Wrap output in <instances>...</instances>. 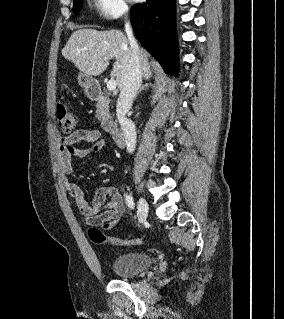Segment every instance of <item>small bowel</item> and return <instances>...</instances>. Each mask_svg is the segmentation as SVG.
Returning <instances> with one entry per match:
<instances>
[{
	"mask_svg": "<svg viewBox=\"0 0 284 319\" xmlns=\"http://www.w3.org/2000/svg\"><path fill=\"white\" fill-rule=\"evenodd\" d=\"M90 143L88 148H79L78 143ZM105 141L100 138L96 129H81L72 134L60 137L61 167L65 175L73 172V158H85L101 152ZM67 187L75 200L76 206L86 223L90 226H101L104 231L117 226L125 211L123 198L114 186L100 187L91 202L86 199L83 190L74 182H67Z\"/></svg>",
	"mask_w": 284,
	"mask_h": 319,
	"instance_id": "c3829d8e",
	"label": "small bowel"
}]
</instances>
